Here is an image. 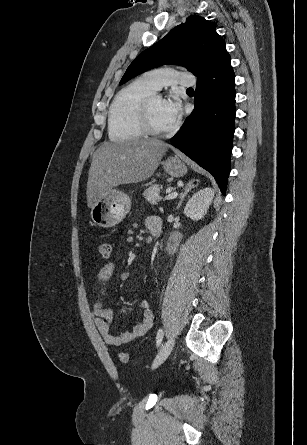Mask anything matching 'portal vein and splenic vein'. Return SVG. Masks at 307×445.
Returning a JSON list of instances; mask_svg holds the SVG:
<instances>
[{"instance_id": "portal-vein-and-splenic-vein-1", "label": "portal vein and splenic vein", "mask_w": 307, "mask_h": 445, "mask_svg": "<svg viewBox=\"0 0 307 445\" xmlns=\"http://www.w3.org/2000/svg\"><path fill=\"white\" fill-rule=\"evenodd\" d=\"M178 192H170V194H167V196H165L166 200H170V198H176Z\"/></svg>"}]
</instances>
